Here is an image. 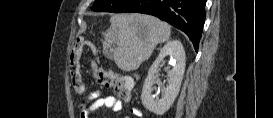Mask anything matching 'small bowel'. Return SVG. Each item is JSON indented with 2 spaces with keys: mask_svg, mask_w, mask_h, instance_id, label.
Listing matches in <instances>:
<instances>
[{
  "mask_svg": "<svg viewBox=\"0 0 273 118\" xmlns=\"http://www.w3.org/2000/svg\"><path fill=\"white\" fill-rule=\"evenodd\" d=\"M99 108H107L113 112L121 111L123 108L122 102L111 95H106L100 92L89 94L79 106L80 118H91L93 112ZM131 114L134 117H142V111L136 107L131 108Z\"/></svg>",
  "mask_w": 273,
  "mask_h": 118,
  "instance_id": "small-bowel-1",
  "label": "small bowel"
}]
</instances>
